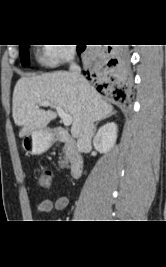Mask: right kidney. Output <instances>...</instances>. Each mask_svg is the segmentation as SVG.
Here are the masks:
<instances>
[{
	"instance_id": "1",
	"label": "right kidney",
	"mask_w": 166,
	"mask_h": 267,
	"mask_svg": "<svg viewBox=\"0 0 166 267\" xmlns=\"http://www.w3.org/2000/svg\"><path fill=\"white\" fill-rule=\"evenodd\" d=\"M117 138V125L114 122L103 125L94 137V147L101 153H107L114 146Z\"/></svg>"
}]
</instances>
